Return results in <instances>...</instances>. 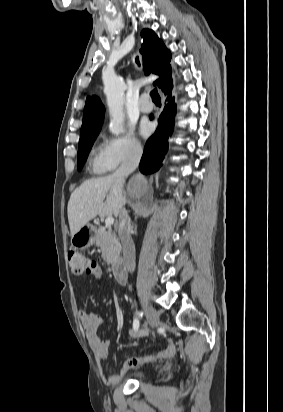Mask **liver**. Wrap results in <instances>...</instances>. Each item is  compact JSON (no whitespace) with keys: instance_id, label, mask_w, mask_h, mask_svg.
<instances>
[{"instance_id":"obj_1","label":"liver","mask_w":283,"mask_h":412,"mask_svg":"<svg viewBox=\"0 0 283 412\" xmlns=\"http://www.w3.org/2000/svg\"><path fill=\"white\" fill-rule=\"evenodd\" d=\"M122 188L113 175L86 180L76 188L67 208L71 236L98 215L117 217L125 203Z\"/></svg>"}]
</instances>
